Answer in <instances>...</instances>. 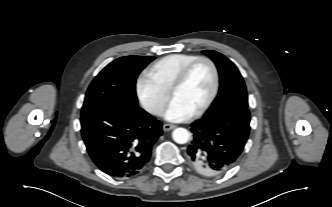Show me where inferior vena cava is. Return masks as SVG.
Returning <instances> with one entry per match:
<instances>
[{"label":"inferior vena cava","instance_id":"obj_1","mask_svg":"<svg viewBox=\"0 0 332 207\" xmlns=\"http://www.w3.org/2000/svg\"><path fill=\"white\" fill-rule=\"evenodd\" d=\"M149 112L153 114H161L163 112V108L161 107H151L149 108Z\"/></svg>","mask_w":332,"mask_h":207}]
</instances>
